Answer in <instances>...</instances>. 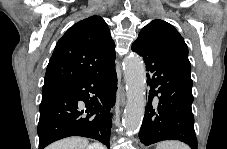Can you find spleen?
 I'll return each mask as SVG.
<instances>
[{"instance_id": "3e777b00", "label": "spleen", "mask_w": 227, "mask_h": 149, "mask_svg": "<svg viewBox=\"0 0 227 149\" xmlns=\"http://www.w3.org/2000/svg\"><path fill=\"white\" fill-rule=\"evenodd\" d=\"M156 149H189V147L179 141H163L157 145Z\"/></svg>"}]
</instances>
